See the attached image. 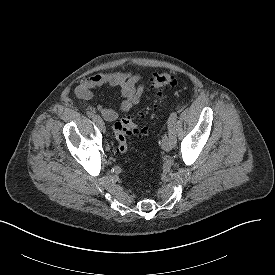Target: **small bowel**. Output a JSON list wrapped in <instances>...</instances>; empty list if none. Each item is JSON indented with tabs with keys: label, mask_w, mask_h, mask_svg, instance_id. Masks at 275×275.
Listing matches in <instances>:
<instances>
[{
	"label": "small bowel",
	"mask_w": 275,
	"mask_h": 275,
	"mask_svg": "<svg viewBox=\"0 0 275 275\" xmlns=\"http://www.w3.org/2000/svg\"><path fill=\"white\" fill-rule=\"evenodd\" d=\"M111 86L120 88L121 102L119 110L127 112L139 104L144 92L143 79L136 74L124 72L98 73L81 81L74 90L75 96L79 100H89L93 96V89L101 86ZM98 112L104 120L114 122L118 118V112L112 108L101 105L89 108V115Z\"/></svg>",
	"instance_id": "obj_1"
}]
</instances>
